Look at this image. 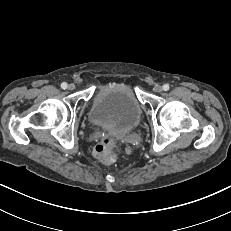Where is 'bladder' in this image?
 I'll list each match as a JSON object with an SVG mask.
<instances>
[{
  "instance_id": "obj_1",
  "label": "bladder",
  "mask_w": 231,
  "mask_h": 231,
  "mask_svg": "<svg viewBox=\"0 0 231 231\" xmlns=\"http://www.w3.org/2000/svg\"><path fill=\"white\" fill-rule=\"evenodd\" d=\"M141 116L139 100L133 90L122 82L103 84L94 94L88 110L91 124L116 134L133 130Z\"/></svg>"
}]
</instances>
